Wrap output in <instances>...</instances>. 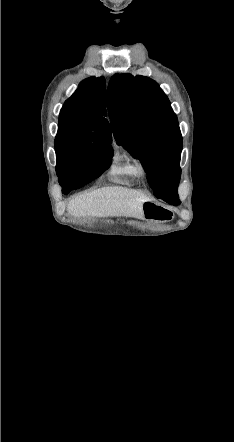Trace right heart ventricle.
I'll return each mask as SVG.
<instances>
[{
    "label": "right heart ventricle",
    "mask_w": 234,
    "mask_h": 442,
    "mask_svg": "<svg viewBox=\"0 0 234 442\" xmlns=\"http://www.w3.org/2000/svg\"><path fill=\"white\" fill-rule=\"evenodd\" d=\"M108 174L124 182L133 181L138 178L134 159L118 146L114 148Z\"/></svg>",
    "instance_id": "right-heart-ventricle-1"
}]
</instances>
